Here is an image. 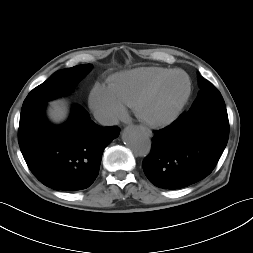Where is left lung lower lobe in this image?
<instances>
[{"label": "left lung lower lobe", "instance_id": "1", "mask_svg": "<svg viewBox=\"0 0 253 253\" xmlns=\"http://www.w3.org/2000/svg\"><path fill=\"white\" fill-rule=\"evenodd\" d=\"M229 137L226 108L201 115L183 113L156 132L143 170L157 187L179 189L208 176L220 159Z\"/></svg>", "mask_w": 253, "mask_h": 253}]
</instances>
